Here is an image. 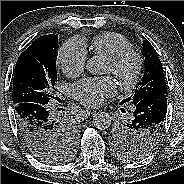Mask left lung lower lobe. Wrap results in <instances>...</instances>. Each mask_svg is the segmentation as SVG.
<instances>
[{"label":"left lung lower lobe","mask_w":184,"mask_h":184,"mask_svg":"<svg viewBox=\"0 0 184 184\" xmlns=\"http://www.w3.org/2000/svg\"><path fill=\"white\" fill-rule=\"evenodd\" d=\"M167 113V94L155 93L142 99L135 105L133 117L130 124L134 127H150L156 132V136L151 134L152 141H138L134 148L137 151L147 150L151 142H158L163 132V125Z\"/></svg>","instance_id":"0a47b994"}]
</instances>
